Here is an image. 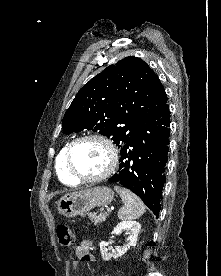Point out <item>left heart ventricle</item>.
Returning <instances> with one entry per match:
<instances>
[{"instance_id": "1", "label": "left heart ventricle", "mask_w": 221, "mask_h": 276, "mask_svg": "<svg viewBox=\"0 0 221 276\" xmlns=\"http://www.w3.org/2000/svg\"><path fill=\"white\" fill-rule=\"evenodd\" d=\"M109 162V153L104 144L96 140L79 142L72 151L74 170L85 177L101 174Z\"/></svg>"}]
</instances>
